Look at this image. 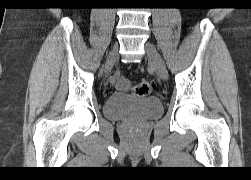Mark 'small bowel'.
I'll return each instance as SVG.
<instances>
[{
    "label": "small bowel",
    "instance_id": "obj_1",
    "mask_svg": "<svg viewBox=\"0 0 251 180\" xmlns=\"http://www.w3.org/2000/svg\"><path fill=\"white\" fill-rule=\"evenodd\" d=\"M116 86L119 89H127L129 87V82L126 79L119 77L116 80Z\"/></svg>",
    "mask_w": 251,
    "mask_h": 180
}]
</instances>
